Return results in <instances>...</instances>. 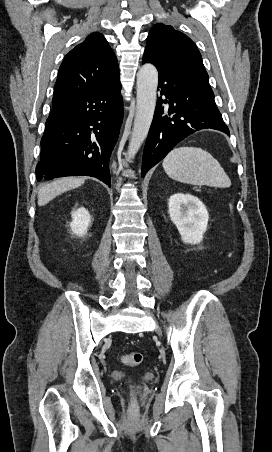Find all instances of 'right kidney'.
<instances>
[{
  "label": "right kidney",
  "instance_id": "obj_1",
  "mask_svg": "<svg viewBox=\"0 0 272 452\" xmlns=\"http://www.w3.org/2000/svg\"><path fill=\"white\" fill-rule=\"evenodd\" d=\"M91 223V217L87 209L81 207L72 212L71 230L74 234L82 237L86 235Z\"/></svg>",
  "mask_w": 272,
  "mask_h": 452
}]
</instances>
